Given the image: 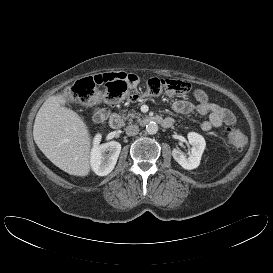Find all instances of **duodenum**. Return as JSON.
<instances>
[{"label": "duodenum", "mask_w": 273, "mask_h": 273, "mask_svg": "<svg viewBox=\"0 0 273 273\" xmlns=\"http://www.w3.org/2000/svg\"><path fill=\"white\" fill-rule=\"evenodd\" d=\"M103 114H104V112L101 111L98 116L101 117ZM107 121H108L109 126L112 129H118L121 126V118L117 113H110L107 117ZM140 123L143 126L151 125V124H158V125L168 128V127L172 126L173 121L170 119H167V118L163 119L159 116H154V117L146 116L140 120Z\"/></svg>", "instance_id": "410a0bca"}]
</instances>
